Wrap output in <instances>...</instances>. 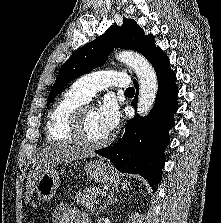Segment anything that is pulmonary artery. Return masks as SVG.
<instances>
[{"label": "pulmonary artery", "mask_w": 221, "mask_h": 223, "mask_svg": "<svg viewBox=\"0 0 221 223\" xmlns=\"http://www.w3.org/2000/svg\"><path fill=\"white\" fill-rule=\"evenodd\" d=\"M129 85L130 79L126 73L110 69L93 72L77 79L71 85V89L88 101L96 92L108 86L129 87Z\"/></svg>", "instance_id": "obj_1"}]
</instances>
